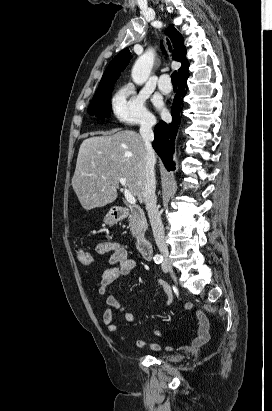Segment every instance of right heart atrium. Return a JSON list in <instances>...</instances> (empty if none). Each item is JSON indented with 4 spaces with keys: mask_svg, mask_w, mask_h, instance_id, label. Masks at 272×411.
<instances>
[{
    "mask_svg": "<svg viewBox=\"0 0 272 411\" xmlns=\"http://www.w3.org/2000/svg\"><path fill=\"white\" fill-rule=\"evenodd\" d=\"M110 108L119 123L151 126L155 122L154 116L146 107L145 98L132 85H124L115 92Z\"/></svg>",
    "mask_w": 272,
    "mask_h": 411,
    "instance_id": "right-heart-atrium-1",
    "label": "right heart atrium"
}]
</instances>
